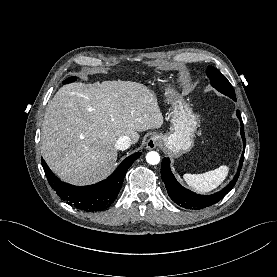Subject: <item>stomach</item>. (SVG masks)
I'll return each instance as SVG.
<instances>
[{"label": "stomach", "instance_id": "1", "mask_svg": "<svg viewBox=\"0 0 277 277\" xmlns=\"http://www.w3.org/2000/svg\"><path fill=\"white\" fill-rule=\"evenodd\" d=\"M157 81L167 86L165 95L171 103L172 130L168 134L155 135L174 155L180 156L190 151L194 145L195 132L199 126L198 118L189 104L174 89L168 87V78L157 77Z\"/></svg>", "mask_w": 277, "mask_h": 277}]
</instances>
